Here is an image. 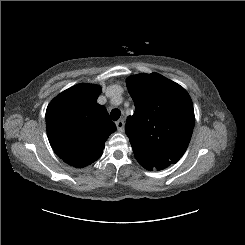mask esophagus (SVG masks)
Instances as JSON below:
<instances>
[{
  "label": "esophagus",
  "mask_w": 245,
  "mask_h": 245,
  "mask_svg": "<svg viewBox=\"0 0 245 245\" xmlns=\"http://www.w3.org/2000/svg\"><path fill=\"white\" fill-rule=\"evenodd\" d=\"M124 126H125V122L123 119H120L116 122V127H117V130L119 132H123L124 131Z\"/></svg>",
  "instance_id": "esophagus-1"
}]
</instances>
